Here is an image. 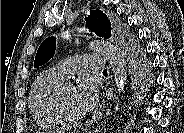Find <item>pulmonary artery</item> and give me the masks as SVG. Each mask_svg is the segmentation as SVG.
<instances>
[{
	"label": "pulmonary artery",
	"instance_id": "pulmonary-artery-1",
	"mask_svg": "<svg viewBox=\"0 0 184 133\" xmlns=\"http://www.w3.org/2000/svg\"><path fill=\"white\" fill-rule=\"evenodd\" d=\"M55 68L62 77L66 78L81 68L104 70L107 68V59L98 54L75 55L62 59Z\"/></svg>",
	"mask_w": 184,
	"mask_h": 133
}]
</instances>
